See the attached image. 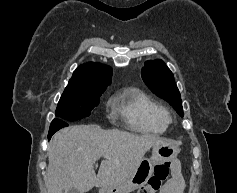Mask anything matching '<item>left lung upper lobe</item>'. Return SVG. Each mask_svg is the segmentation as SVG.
Instances as JSON below:
<instances>
[{"label": "left lung upper lobe", "instance_id": "left-lung-upper-lobe-1", "mask_svg": "<svg viewBox=\"0 0 237 193\" xmlns=\"http://www.w3.org/2000/svg\"><path fill=\"white\" fill-rule=\"evenodd\" d=\"M144 82L161 98L169 102L180 116L183 108L174 76L162 60L147 61L141 71Z\"/></svg>", "mask_w": 237, "mask_h": 193}]
</instances>
